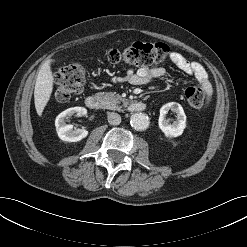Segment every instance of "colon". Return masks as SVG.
Masks as SVG:
<instances>
[{
  "instance_id": "obj_1",
  "label": "colon",
  "mask_w": 247,
  "mask_h": 247,
  "mask_svg": "<svg viewBox=\"0 0 247 247\" xmlns=\"http://www.w3.org/2000/svg\"><path fill=\"white\" fill-rule=\"evenodd\" d=\"M169 47L164 43L135 42L124 49H112L104 53V59L111 64L126 63L135 66H150L162 63L169 55ZM86 71L80 63L61 67L55 75V98L65 102L83 91ZM185 98L191 108L199 109L204 104L201 87L191 86L185 90Z\"/></svg>"
}]
</instances>
